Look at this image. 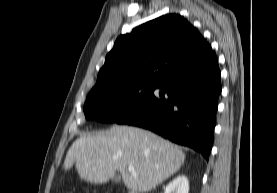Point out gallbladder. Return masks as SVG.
<instances>
[{"mask_svg": "<svg viewBox=\"0 0 277 193\" xmlns=\"http://www.w3.org/2000/svg\"><path fill=\"white\" fill-rule=\"evenodd\" d=\"M121 181V177L119 175H116L113 177V182L119 183Z\"/></svg>", "mask_w": 277, "mask_h": 193, "instance_id": "gallbladder-1", "label": "gallbladder"}]
</instances>
